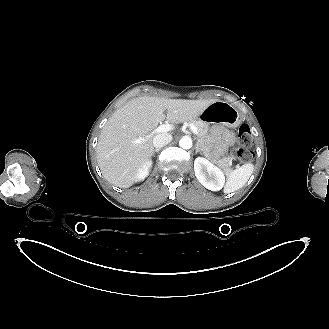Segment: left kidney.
Masks as SVG:
<instances>
[{
	"label": "left kidney",
	"mask_w": 329,
	"mask_h": 329,
	"mask_svg": "<svg viewBox=\"0 0 329 329\" xmlns=\"http://www.w3.org/2000/svg\"><path fill=\"white\" fill-rule=\"evenodd\" d=\"M195 176L198 181L211 191H219L225 184L224 172L209 160L198 157L194 161Z\"/></svg>",
	"instance_id": "1"
}]
</instances>
